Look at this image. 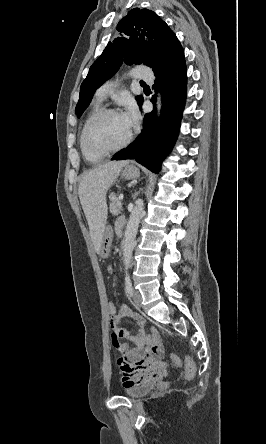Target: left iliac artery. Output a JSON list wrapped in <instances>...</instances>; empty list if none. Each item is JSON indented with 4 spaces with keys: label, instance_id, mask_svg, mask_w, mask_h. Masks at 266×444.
I'll list each match as a JSON object with an SVG mask.
<instances>
[{
    "label": "left iliac artery",
    "instance_id": "left-iliac-artery-1",
    "mask_svg": "<svg viewBox=\"0 0 266 444\" xmlns=\"http://www.w3.org/2000/svg\"><path fill=\"white\" fill-rule=\"evenodd\" d=\"M125 289H126V293L129 296L133 295V287H132V282H131L129 275H126V277H125Z\"/></svg>",
    "mask_w": 266,
    "mask_h": 444
}]
</instances>
